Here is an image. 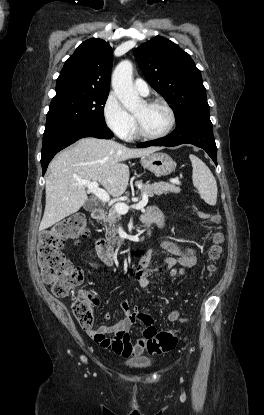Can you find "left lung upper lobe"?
<instances>
[{
  "label": "left lung upper lobe",
  "instance_id": "left-lung-upper-lobe-1",
  "mask_svg": "<svg viewBox=\"0 0 264 415\" xmlns=\"http://www.w3.org/2000/svg\"><path fill=\"white\" fill-rule=\"evenodd\" d=\"M134 54L147 82L171 104L176 124L193 113L209 112L200 70L179 46L157 36Z\"/></svg>",
  "mask_w": 264,
  "mask_h": 415
}]
</instances>
